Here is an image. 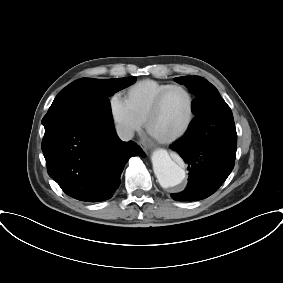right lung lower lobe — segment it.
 Listing matches in <instances>:
<instances>
[{
	"instance_id": "right-lung-lower-lobe-1",
	"label": "right lung lower lobe",
	"mask_w": 283,
	"mask_h": 283,
	"mask_svg": "<svg viewBox=\"0 0 283 283\" xmlns=\"http://www.w3.org/2000/svg\"><path fill=\"white\" fill-rule=\"evenodd\" d=\"M42 151L49 176L69 196L85 202L109 199L132 156H143L136 143L122 142L114 124L61 121L45 128Z\"/></svg>"
}]
</instances>
